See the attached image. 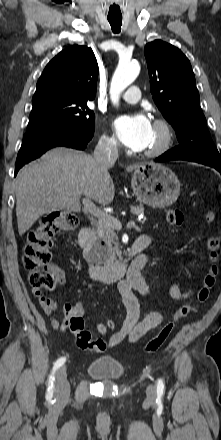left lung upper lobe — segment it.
I'll return each mask as SVG.
<instances>
[{"instance_id": "5c2ea615", "label": "left lung upper lobe", "mask_w": 221, "mask_h": 440, "mask_svg": "<svg viewBox=\"0 0 221 440\" xmlns=\"http://www.w3.org/2000/svg\"><path fill=\"white\" fill-rule=\"evenodd\" d=\"M153 100L175 129L179 146L169 150L183 160L221 165L199 105V93L188 58L173 45L155 40L144 49Z\"/></svg>"}]
</instances>
